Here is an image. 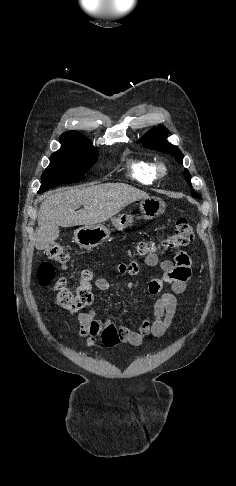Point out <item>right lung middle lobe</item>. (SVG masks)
<instances>
[{"label": "right lung middle lobe", "instance_id": "obj_1", "mask_svg": "<svg viewBox=\"0 0 236 486\" xmlns=\"http://www.w3.org/2000/svg\"><path fill=\"white\" fill-rule=\"evenodd\" d=\"M60 143L61 149L52 154L38 193L83 180L84 174L97 161L98 150L92 145L63 140Z\"/></svg>", "mask_w": 236, "mask_h": 486}]
</instances>
